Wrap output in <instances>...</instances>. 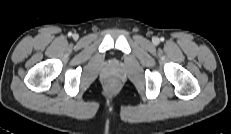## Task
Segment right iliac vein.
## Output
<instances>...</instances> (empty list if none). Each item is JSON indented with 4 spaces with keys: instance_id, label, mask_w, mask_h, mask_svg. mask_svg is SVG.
<instances>
[{
    "instance_id": "right-iliac-vein-1",
    "label": "right iliac vein",
    "mask_w": 231,
    "mask_h": 134,
    "mask_svg": "<svg viewBox=\"0 0 231 134\" xmlns=\"http://www.w3.org/2000/svg\"><path fill=\"white\" fill-rule=\"evenodd\" d=\"M73 38H74V39H77V38H78V35H77V34H74V35H73Z\"/></svg>"
}]
</instances>
